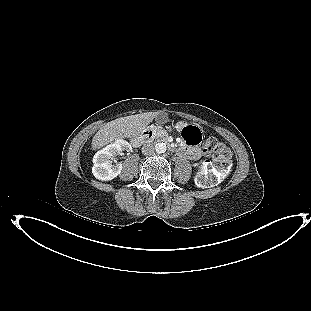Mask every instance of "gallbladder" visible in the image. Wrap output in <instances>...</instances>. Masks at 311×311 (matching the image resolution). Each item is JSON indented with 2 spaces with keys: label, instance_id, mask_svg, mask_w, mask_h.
<instances>
[{
  "label": "gallbladder",
  "instance_id": "1",
  "mask_svg": "<svg viewBox=\"0 0 311 311\" xmlns=\"http://www.w3.org/2000/svg\"><path fill=\"white\" fill-rule=\"evenodd\" d=\"M156 120H157L159 123H164V122H166V121L168 120V115H167V113H164V112L160 113V114L157 116Z\"/></svg>",
  "mask_w": 311,
  "mask_h": 311
}]
</instances>
